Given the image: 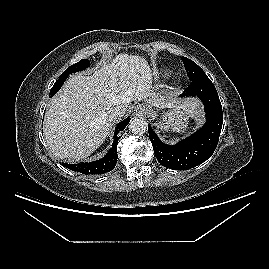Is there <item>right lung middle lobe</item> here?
<instances>
[{"instance_id": "obj_1", "label": "right lung middle lobe", "mask_w": 269, "mask_h": 269, "mask_svg": "<svg viewBox=\"0 0 269 269\" xmlns=\"http://www.w3.org/2000/svg\"><path fill=\"white\" fill-rule=\"evenodd\" d=\"M89 60L87 59H81L78 63H75L73 65H71L69 68H67L63 74H61L60 76H68L71 73H75L78 71H83L85 70L88 66H89Z\"/></svg>"}]
</instances>
